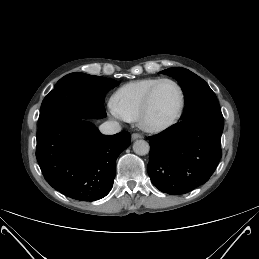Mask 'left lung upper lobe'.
<instances>
[{
  "instance_id": "left-lung-upper-lobe-1",
  "label": "left lung upper lobe",
  "mask_w": 259,
  "mask_h": 259,
  "mask_svg": "<svg viewBox=\"0 0 259 259\" xmlns=\"http://www.w3.org/2000/svg\"><path fill=\"white\" fill-rule=\"evenodd\" d=\"M175 78L185 96V111L183 120L195 115L221 111L215 93L199 76L182 67H174L161 71Z\"/></svg>"
}]
</instances>
